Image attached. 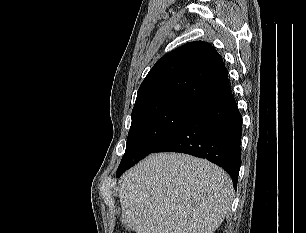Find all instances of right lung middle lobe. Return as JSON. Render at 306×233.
I'll list each match as a JSON object with an SVG mask.
<instances>
[{
    "instance_id": "dd1d6c3e",
    "label": "right lung middle lobe",
    "mask_w": 306,
    "mask_h": 233,
    "mask_svg": "<svg viewBox=\"0 0 306 233\" xmlns=\"http://www.w3.org/2000/svg\"><path fill=\"white\" fill-rule=\"evenodd\" d=\"M203 106L183 98L153 100L132 111L126 151L116 176L132 167L164 142Z\"/></svg>"
}]
</instances>
